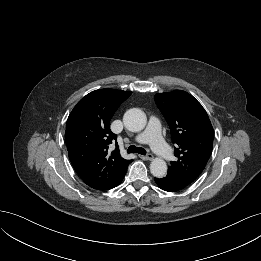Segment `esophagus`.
I'll list each match as a JSON object with an SVG mask.
<instances>
[{"mask_svg": "<svg viewBox=\"0 0 261 261\" xmlns=\"http://www.w3.org/2000/svg\"><path fill=\"white\" fill-rule=\"evenodd\" d=\"M140 158L143 159V160H152L153 155L151 153H148L146 155H140Z\"/></svg>", "mask_w": 261, "mask_h": 261, "instance_id": "obj_1", "label": "esophagus"}]
</instances>
